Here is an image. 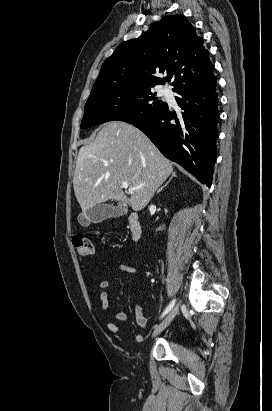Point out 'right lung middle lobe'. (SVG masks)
<instances>
[{
    "label": "right lung middle lobe",
    "instance_id": "1",
    "mask_svg": "<svg viewBox=\"0 0 272 411\" xmlns=\"http://www.w3.org/2000/svg\"><path fill=\"white\" fill-rule=\"evenodd\" d=\"M166 105L147 86H115L92 91L85 104L81 128L114 120L141 121Z\"/></svg>",
    "mask_w": 272,
    "mask_h": 411
}]
</instances>
